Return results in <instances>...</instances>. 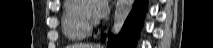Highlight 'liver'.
<instances>
[{
  "label": "liver",
  "instance_id": "6515ba94",
  "mask_svg": "<svg viewBox=\"0 0 213 48\" xmlns=\"http://www.w3.org/2000/svg\"><path fill=\"white\" fill-rule=\"evenodd\" d=\"M68 48H94V47L91 44L78 43V44L70 45V47H68Z\"/></svg>",
  "mask_w": 213,
  "mask_h": 48
}]
</instances>
